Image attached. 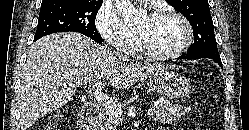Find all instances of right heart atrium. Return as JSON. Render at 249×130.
<instances>
[{"instance_id":"d8ad5b80","label":"right heart atrium","mask_w":249,"mask_h":130,"mask_svg":"<svg viewBox=\"0 0 249 130\" xmlns=\"http://www.w3.org/2000/svg\"><path fill=\"white\" fill-rule=\"evenodd\" d=\"M95 26L101 37L117 50L126 54L136 50L138 45L136 32L110 7L102 5L99 8L95 17Z\"/></svg>"}]
</instances>
